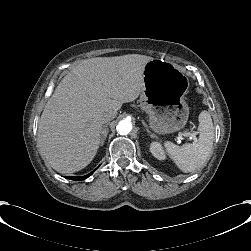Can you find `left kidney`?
Wrapping results in <instances>:
<instances>
[{
	"label": "left kidney",
	"mask_w": 251,
	"mask_h": 251,
	"mask_svg": "<svg viewBox=\"0 0 251 251\" xmlns=\"http://www.w3.org/2000/svg\"><path fill=\"white\" fill-rule=\"evenodd\" d=\"M149 150H150L151 154L154 156V158H156L158 160H167L168 159V155H167V152L163 146V143L158 140L150 142Z\"/></svg>",
	"instance_id": "obj_1"
}]
</instances>
